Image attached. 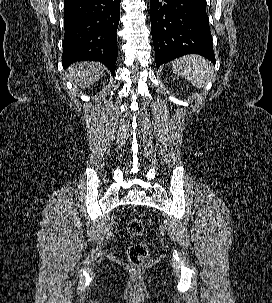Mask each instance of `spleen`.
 I'll use <instances>...</instances> for the list:
<instances>
[{
  "instance_id": "3e777b00",
  "label": "spleen",
  "mask_w": 272,
  "mask_h": 303,
  "mask_svg": "<svg viewBox=\"0 0 272 303\" xmlns=\"http://www.w3.org/2000/svg\"><path fill=\"white\" fill-rule=\"evenodd\" d=\"M172 70L198 89L204 87L214 74L210 62L199 55H186L174 60Z\"/></svg>"
}]
</instances>
